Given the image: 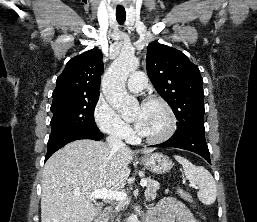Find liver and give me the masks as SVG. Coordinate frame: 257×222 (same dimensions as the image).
<instances>
[{
  "label": "liver",
  "instance_id": "obj_1",
  "mask_svg": "<svg viewBox=\"0 0 257 222\" xmlns=\"http://www.w3.org/2000/svg\"><path fill=\"white\" fill-rule=\"evenodd\" d=\"M133 155L128 147L113 152L108 144L93 140L73 141L58 150L43 168L41 222L94 221L103 202L94 204L87 194L122 190Z\"/></svg>",
  "mask_w": 257,
  "mask_h": 222
}]
</instances>
